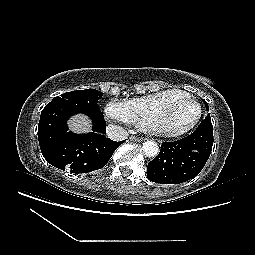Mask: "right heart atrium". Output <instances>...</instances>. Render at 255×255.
Returning <instances> with one entry per match:
<instances>
[{"instance_id": "obj_1", "label": "right heart atrium", "mask_w": 255, "mask_h": 255, "mask_svg": "<svg viewBox=\"0 0 255 255\" xmlns=\"http://www.w3.org/2000/svg\"><path fill=\"white\" fill-rule=\"evenodd\" d=\"M105 114L109 119L122 123H129L126 107L122 101H109L105 106Z\"/></svg>"}]
</instances>
